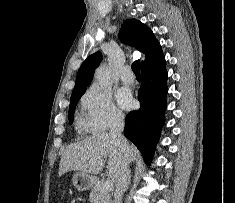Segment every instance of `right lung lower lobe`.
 Here are the masks:
<instances>
[{"label":"right lung lower lobe","instance_id":"98d812e1","mask_svg":"<svg viewBox=\"0 0 235 203\" xmlns=\"http://www.w3.org/2000/svg\"><path fill=\"white\" fill-rule=\"evenodd\" d=\"M142 84L138 91L139 110L131 111L125 119L124 135L140 150L150 164L164 125L166 109L167 71L162 55L141 68Z\"/></svg>","mask_w":235,"mask_h":203}]
</instances>
